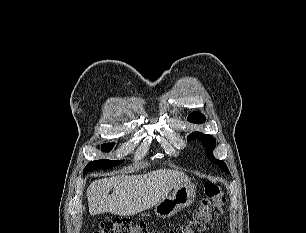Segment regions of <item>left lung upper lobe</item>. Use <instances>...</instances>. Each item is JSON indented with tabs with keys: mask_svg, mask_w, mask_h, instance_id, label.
<instances>
[{
	"mask_svg": "<svg viewBox=\"0 0 306 233\" xmlns=\"http://www.w3.org/2000/svg\"><path fill=\"white\" fill-rule=\"evenodd\" d=\"M187 120L192 122V123L201 124L206 120V118L201 113L194 112V113H191L188 116ZM195 138H197L199 141H201L202 144L205 146L206 155L209 158V160L212 163L217 164L224 172L229 173V170H228L226 164L224 163V161L218 160L213 156V150L216 146V140L213 138V136L208 135V134L199 133V132H194V133L190 134L187 139L192 140V139H195Z\"/></svg>",
	"mask_w": 306,
	"mask_h": 233,
	"instance_id": "left-lung-upper-lobe-1",
	"label": "left lung upper lobe"
}]
</instances>
